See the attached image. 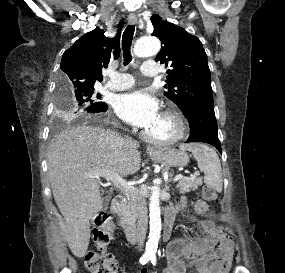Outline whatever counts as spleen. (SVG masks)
<instances>
[{
	"instance_id": "obj_1",
	"label": "spleen",
	"mask_w": 285,
	"mask_h": 273,
	"mask_svg": "<svg viewBox=\"0 0 285 273\" xmlns=\"http://www.w3.org/2000/svg\"><path fill=\"white\" fill-rule=\"evenodd\" d=\"M181 148L192 152L199 169L205 175V184L217 192H221L223 186L222 168L217 153L209 146L199 143L182 145Z\"/></svg>"
}]
</instances>
